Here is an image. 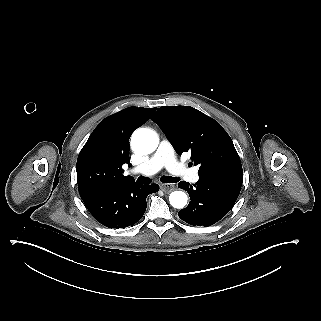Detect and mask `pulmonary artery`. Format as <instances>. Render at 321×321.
I'll use <instances>...</instances> for the list:
<instances>
[{
    "instance_id": "1",
    "label": "pulmonary artery",
    "mask_w": 321,
    "mask_h": 321,
    "mask_svg": "<svg viewBox=\"0 0 321 321\" xmlns=\"http://www.w3.org/2000/svg\"><path fill=\"white\" fill-rule=\"evenodd\" d=\"M167 138H163L154 154L142 162L141 168L144 173L150 174L157 172L159 168L168 167L169 172L174 178L192 180L197 182L199 177L192 164H183L177 161L174 150Z\"/></svg>"
}]
</instances>
